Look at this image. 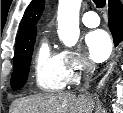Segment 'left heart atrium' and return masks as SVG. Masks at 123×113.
<instances>
[{
  "label": "left heart atrium",
  "mask_w": 123,
  "mask_h": 113,
  "mask_svg": "<svg viewBox=\"0 0 123 113\" xmlns=\"http://www.w3.org/2000/svg\"><path fill=\"white\" fill-rule=\"evenodd\" d=\"M85 43L91 59L95 62H102L111 54V39L104 30L90 32L85 38Z\"/></svg>",
  "instance_id": "39dd6f15"
}]
</instances>
